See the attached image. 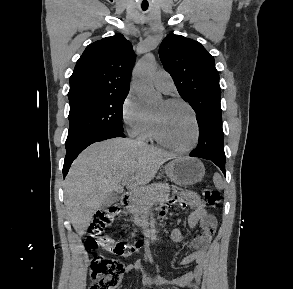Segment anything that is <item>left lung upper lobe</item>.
<instances>
[{
  "label": "left lung upper lobe",
  "mask_w": 293,
  "mask_h": 289,
  "mask_svg": "<svg viewBox=\"0 0 293 289\" xmlns=\"http://www.w3.org/2000/svg\"><path fill=\"white\" fill-rule=\"evenodd\" d=\"M159 56L179 94L197 114V122H222L219 73L213 56L197 41L169 34L162 41Z\"/></svg>",
  "instance_id": "1"
}]
</instances>
